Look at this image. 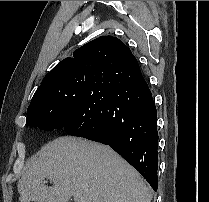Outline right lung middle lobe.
I'll list each match as a JSON object with an SVG mask.
<instances>
[{"label":"right lung middle lobe","instance_id":"1","mask_svg":"<svg viewBox=\"0 0 209 202\" xmlns=\"http://www.w3.org/2000/svg\"><path fill=\"white\" fill-rule=\"evenodd\" d=\"M96 77L85 73L50 78L33 96L27 111L29 126L45 131L63 128L80 109Z\"/></svg>","mask_w":209,"mask_h":202}]
</instances>
